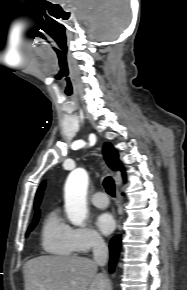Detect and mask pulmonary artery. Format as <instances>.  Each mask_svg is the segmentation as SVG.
<instances>
[{
	"label": "pulmonary artery",
	"instance_id": "1",
	"mask_svg": "<svg viewBox=\"0 0 187 290\" xmlns=\"http://www.w3.org/2000/svg\"><path fill=\"white\" fill-rule=\"evenodd\" d=\"M91 202L93 205L99 208H104L108 205L109 201L104 192H96L95 194L92 195L91 197Z\"/></svg>",
	"mask_w": 187,
	"mask_h": 290
}]
</instances>
